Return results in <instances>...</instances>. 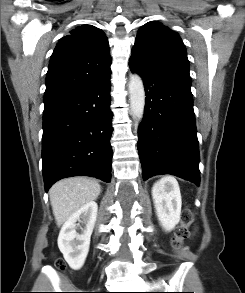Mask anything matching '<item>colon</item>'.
<instances>
[{
    "label": "colon",
    "mask_w": 245,
    "mask_h": 293,
    "mask_svg": "<svg viewBox=\"0 0 245 293\" xmlns=\"http://www.w3.org/2000/svg\"><path fill=\"white\" fill-rule=\"evenodd\" d=\"M193 223V214L189 209H186L181 224L176 228L173 245L175 248L179 249L183 242L190 237L191 232L189 230V226ZM63 262L58 260L57 264L61 265Z\"/></svg>",
    "instance_id": "1"
}]
</instances>
